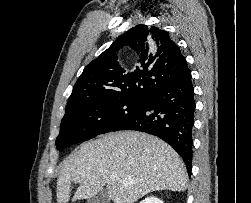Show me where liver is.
I'll return each mask as SVG.
<instances>
[{
    "instance_id": "obj_1",
    "label": "liver",
    "mask_w": 251,
    "mask_h": 203,
    "mask_svg": "<svg viewBox=\"0 0 251 203\" xmlns=\"http://www.w3.org/2000/svg\"><path fill=\"white\" fill-rule=\"evenodd\" d=\"M116 174L111 179V174ZM90 199L106 186L114 203H135L153 191H183L184 163L161 139L134 131L108 133L80 145L64 163L57 179V203Z\"/></svg>"
}]
</instances>
